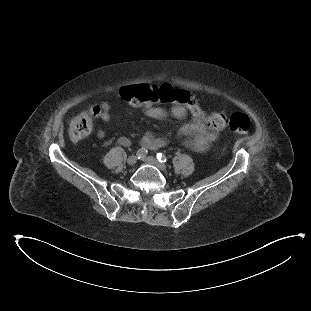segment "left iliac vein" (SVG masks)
I'll list each match as a JSON object with an SVG mask.
<instances>
[{
	"label": "left iliac vein",
	"instance_id": "obj_1",
	"mask_svg": "<svg viewBox=\"0 0 311 311\" xmlns=\"http://www.w3.org/2000/svg\"><path fill=\"white\" fill-rule=\"evenodd\" d=\"M144 161L147 164H150L152 166H155L156 168H158L161 171H165L166 170V166L163 163H160L156 158L152 157V156H148L144 159Z\"/></svg>",
	"mask_w": 311,
	"mask_h": 311
}]
</instances>
